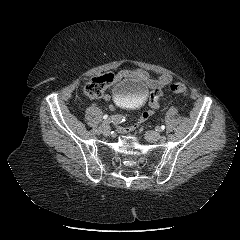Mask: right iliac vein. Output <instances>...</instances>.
Returning <instances> with one entry per match:
<instances>
[{
	"label": "right iliac vein",
	"instance_id": "right-iliac-vein-1",
	"mask_svg": "<svg viewBox=\"0 0 240 240\" xmlns=\"http://www.w3.org/2000/svg\"><path fill=\"white\" fill-rule=\"evenodd\" d=\"M110 127L108 125H105L104 128L102 129V133L104 136H108L110 134Z\"/></svg>",
	"mask_w": 240,
	"mask_h": 240
}]
</instances>
